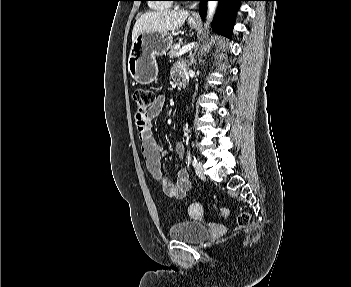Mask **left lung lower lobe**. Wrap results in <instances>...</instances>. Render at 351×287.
I'll list each match as a JSON object with an SVG mask.
<instances>
[{"label": "left lung lower lobe", "mask_w": 351, "mask_h": 287, "mask_svg": "<svg viewBox=\"0 0 351 287\" xmlns=\"http://www.w3.org/2000/svg\"><path fill=\"white\" fill-rule=\"evenodd\" d=\"M200 1L199 13L202 19L205 17L206 13V3L209 0H193ZM219 1V7L217 15L215 17V22L213 23V29H215L219 34L226 37H231L233 21L235 13L240 6V1L246 0H216Z\"/></svg>", "instance_id": "obj_1"}]
</instances>
